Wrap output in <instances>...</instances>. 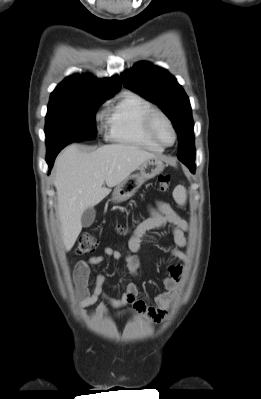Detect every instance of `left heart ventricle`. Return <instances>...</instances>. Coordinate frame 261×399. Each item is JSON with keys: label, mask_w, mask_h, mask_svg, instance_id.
Wrapping results in <instances>:
<instances>
[{"label": "left heart ventricle", "mask_w": 261, "mask_h": 399, "mask_svg": "<svg viewBox=\"0 0 261 399\" xmlns=\"http://www.w3.org/2000/svg\"><path fill=\"white\" fill-rule=\"evenodd\" d=\"M154 128L157 136L165 144H171L173 142V132L168 123L162 117H156Z\"/></svg>", "instance_id": "left-heart-ventricle-1"}]
</instances>
